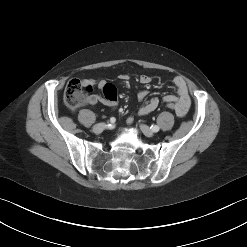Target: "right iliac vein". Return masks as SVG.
Returning <instances> with one entry per match:
<instances>
[{
  "label": "right iliac vein",
  "instance_id": "1",
  "mask_svg": "<svg viewBox=\"0 0 247 247\" xmlns=\"http://www.w3.org/2000/svg\"><path fill=\"white\" fill-rule=\"evenodd\" d=\"M105 124L104 123H98L93 127V132L96 134L101 133L105 129Z\"/></svg>",
  "mask_w": 247,
  "mask_h": 247
}]
</instances>
